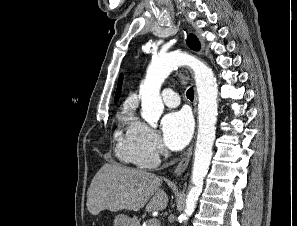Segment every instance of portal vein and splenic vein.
Returning <instances> with one entry per match:
<instances>
[{"label":"portal vein and splenic vein","instance_id":"obj_1","mask_svg":"<svg viewBox=\"0 0 297 226\" xmlns=\"http://www.w3.org/2000/svg\"><path fill=\"white\" fill-rule=\"evenodd\" d=\"M149 222L152 223V224H156L158 222V220L157 219H151Z\"/></svg>","mask_w":297,"mask_h":226}]
</instances>
